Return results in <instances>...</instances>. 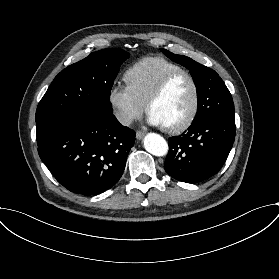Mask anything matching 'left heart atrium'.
<instances>
[{
  "label": "left heart atrium",
  "instance_id": "1",
  "mask_svg": "<svg viewBox=\"0 0 279 279\" xmlns=\"http://www.w3.org/2000/svg\"><path fill=\"white\" fill-rule=\"evenodd\" d=\"M147 122L148 124L152 126H157V127H164L163 121L156 116L155 114L149 112L148 117H147Z\"/></svg>",
  "mask_w": 279,
  "mask_h": 279
}]
</instances>
